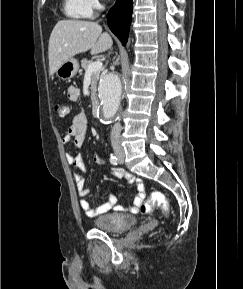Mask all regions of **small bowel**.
Returning <instances> with one entry per match:
<instances>
[{
    "label": "small bowel",
    "instance_id": "obj_1",
    "mask_svg": "<svg viewBox=\"0 0 243 289\" xmlns=\"http://www.w3.org/2000/svg\"><path fill=\"white\" fill-rule=\"evenodd\" d=\"M79 96L80 91L77 87L70 86L67 89V97L69 98V100L77 101L79 99ZM87 132H88V120L86 114L80 112L73 116L71 124L68 127L67 133L63 137V143L64 144L72 143L74 147L80 148L87 137ZM66 160L69 164L75 166L78 170V172L74 174V180L80 196V206L87 216L95 217L107 213L110 210H114L117 212L129 211L133 213L139 210V207L145 198L144 185L140 179L134 177L133 175L127 173L122 169L113 168L112 174L115 177L123 179L129 184L135 185L137 192L134 197L133 204L127 208L118 205L117 196L112 193L109 195L108 200L106 202L100 204L97 208H93L87 201V197L90 194V190L86 188L85 175L87 173V168L84 165L81 156L67 153ZM94 160L99 164L102 163V159L100 155L97 153L94 155Z\"/></svg>",
    "mask_w": 243,
    "mask_h": 289
}]
</instances>
